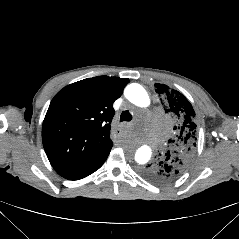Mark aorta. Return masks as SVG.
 Wrapping results in <instances>:
<instances>
[{
    "label": "aorta",
    "instance_id": "762f6f07",
    "mask_svg": "<svg viewBox=\"0 0 239 239\" xmlns=\"http://www.w3.org/2000/svg\"><path fill=\"white\" fill-rule=\"evenodd\" d=\"M125 97L138 107H147L150 104L146 90L139 84H130L124 91ZM153 144L138 146L131 157L139 166L145 165L151 159Z\"/></svg>",
    "mask_w": 239,
    "mask_h": 239
}]
</instances>
